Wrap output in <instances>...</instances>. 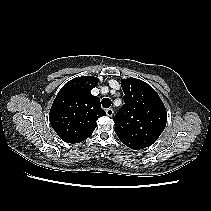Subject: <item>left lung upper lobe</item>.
<instances>
[{"label": "left lung upper lobe", "mask_w": 211, "mask_h": 211, "mask_svg": "<svg viewBox=\"0 0 211 211\" xmlns=\"http://www.w3.org/2000/svg\"><path fill=\"white\" fill-rule=\"evenodd\" d=\"M121 86L125 104L113 117L115 132L131 149L149 147L165 129V106L156 91L139 79H122Z\"/></svg>", "instance_id": "1"}]
</instances>
